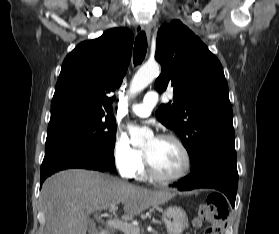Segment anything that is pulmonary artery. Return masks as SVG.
I'll return each mask as SVG.
<instances>
[{"instance_id":"pulmonary-artery-1","label":"pulmonary artery","mask_w":279,"mask_h":234,"mask_svg":"<svg viewBox=\"0 0 279 234\" xmlns=\"http://www.w3.org/2000/svg\"><path fill=\"white\" fill-rule=\"evenodd\" d=\"M158 100L159 97L155 92H148L147 94H145L141 102L133 103L130 106V109L134 114L140 117H147L151 114V111Z\"/></svg>"}]
</instances>
